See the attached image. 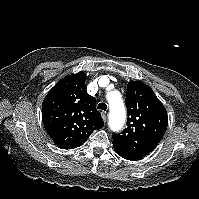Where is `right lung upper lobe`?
Returning <instances> with one entry per match:
<instances>
[{"label": "right lung upper lobe", "instance_id": "right-lung-upper-lobe-1", "mask_svg": "<svg viewBox=\"0 0 199 199\" xmlns=\"http://www.w3.org/2000/svg\"><path fill=\"white\" fill-rule=\"evenodd\" d=\"M85 80L84 72L62 78L42 103L45 130L59 148L81 146L104 125L96 99L86 91Z\"/></svg>", "mask_w": 199, "mask_h": 199}]
</instances>
